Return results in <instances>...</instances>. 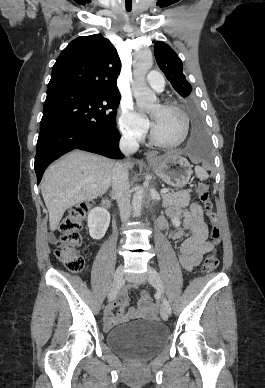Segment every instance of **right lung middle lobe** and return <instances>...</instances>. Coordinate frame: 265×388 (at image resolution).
Returning a JSON list of instances; mask_svg holds the SVG:
<instances>
[{
	"mask_svg": "<svg viewBox=\"0 0 265 388\" xmlns=\"http://www.w3.org/2000/svg\"><path fill=\"white\" fill-rule=\"evenodd\" d=\"M120 94L117 89L91 92L65 91L47 95L40 131L73 124L110 132L116 130V113Z\"/></svg>",
	"mask_w": 265,
	"mask_h": 388,
	"instance_id": "obj_1",
	"label": "right lung middle lobe"
}]
</instances>
